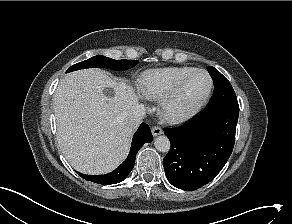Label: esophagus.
<instances>
[{"label": "esophagus", "instance_id": "34e87169", "mask_svg": "<svg viewBox=\"0 0 292 224\" xmlns=\"http://www.w3.org/2000/svg\"><path fill=\"white\" fill-rule=\"evenodd\" d=\"M151 131L153 136H158L163 133L162 129L159 126H154Z\"/></svg>", "mask_w": 292, "mask_h": 224}]
</instances>
